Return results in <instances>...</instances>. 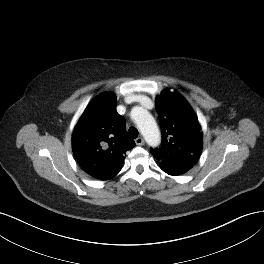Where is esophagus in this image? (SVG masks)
<instances>
[{
  "label": "esophagus",
  "instance_id": "esophagus-1",
  "mask_svg": "<svg viewBox=\"0 0 264 264\" xmlns=\"http://www.w3.org/2000/svg\"><path fill=\"white\" fill-rule=\"evenodd\" d=\"M135 143H136L137 145H139V146H142V145L144 144V140H143L142 137H137V138L135 139Z\"/></svg>",
  "mask_w": 264,
  "mask_h": 264
}]
</instances>
